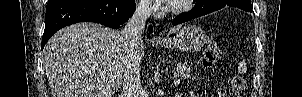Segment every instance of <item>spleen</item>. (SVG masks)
I'll return each instance as SVG.
<instances>
[{"mask_svg":"<svg viewBox=\"0 0 302 97\" xmlns=\"http://www.w3.org/2000/svg\"><path fill=\"white\" fill-rule=\"evenodd\" d=\"M247 70L245 63H241L240 66L238 67V72L239 73H245Z\"/></svg>","mask_w":302,"mask_h":97,"instance_id":"obj_1","label":"spleen"}]
</instances>
